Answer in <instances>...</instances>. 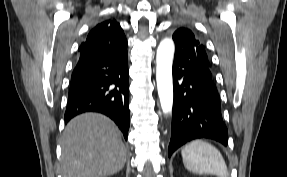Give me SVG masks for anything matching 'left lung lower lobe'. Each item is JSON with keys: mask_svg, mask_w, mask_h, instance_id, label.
I'll list each match as a JSON object with an SVG mask.
<instances>
[{"mask_svg": "<svg viewBox=\"0 0 287 177\" xmlns=\"http://www.w3.org/2000/svg\"><path fill=\"white\" fill-rule=\"evenodd\" d=\"M173 117L168 148L170 157L180 146L196 138L228 143L220 98L214 80L175 54L173 63Z\"/></svg>", "mask_w": 287, "mask_h": 177, "instance_id": "obj_1", "label": "left lung lower lobe"}]
</instances>
